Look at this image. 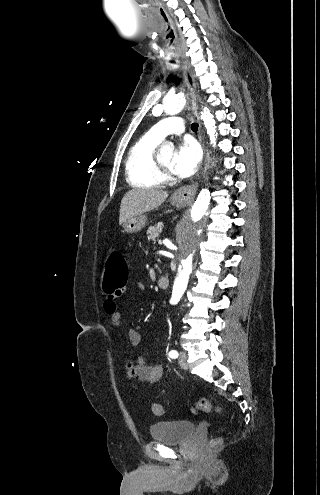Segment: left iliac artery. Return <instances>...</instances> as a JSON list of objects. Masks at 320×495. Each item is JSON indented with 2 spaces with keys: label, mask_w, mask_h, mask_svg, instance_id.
<instances>
[{
  "label": "left iliac artery",
  "mask_w": 320,
  "mask_h": 495,
  "mask_svg": "<svg viewBox=\"0 0 320 495\" xmlns=\"http://www.w3.org/2000/svg\"><path fill=\"white\" fill-rule=\"evenodd\" d=\"M169 357L172 358V359H175L178 357V352L176 350H171L169 352Z\"/></svg>",
  "instance_id": "left-iliac-artery-1"
}]
</instances>
